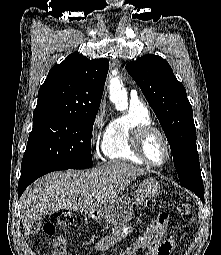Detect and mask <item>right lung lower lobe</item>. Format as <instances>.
Returning a JSON list of instances; mask_svg holds the SVG:
<instances>
[{
	"instance_id": "98d812e1",
	"label": "right lung lower lobe",
	"mask_w": 221,
	"mask_h": 255,
	"mask_svg": "<svg viewBox=\"0 0 221 255\" xmlns=\"http://www.w3.org/2000/svg\"><path fill=\"white\" fill-rule=\"evenodd\" d=\"M22 173L18 183V197H20L25 188L35 181L37 178L52 171L66 170L65 168L44 166V165H30L21 169Z\"/></svg>"
}]
</instances>
